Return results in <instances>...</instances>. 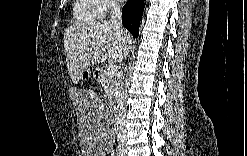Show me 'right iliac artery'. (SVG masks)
Returning a JSON list of instances; mask_svg holds the SVG:
<instances>
[{"mask_svg": "<svg viewBox=\"0 0 247 156\" xmlns=\"http://www.w3.org/2000/svg\"><path fill=\"white\" fill-rule=\"evenodd\" d=\"M122 155H123L122 151H121L120 147L118 146V148H117V156H122Z\"/></svg>", "mask_w": 247, "mask_h": 156, "instance_id": "obj_1", "label": "right iliac artery"}]
</instances>
